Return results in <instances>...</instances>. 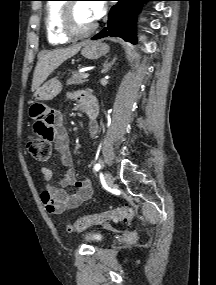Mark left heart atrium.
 Returning <instances> with one entry per match:
<instances>
[{
	"label": "left heart atrium",
	"mask_w": 216,
	"mask_h": 285,
	"mask_svg": "<svg viewBox=\"0 0 216 285\" xmlns=\"http://www.w3.org/2000/svg\"><path fill=\"white\" fill-rule=\"evenodd\" d=\"M87 5L95 21L104 15L106 7L103 1H91Z\"/></svg>",
	"instance_id": "1"
}]
</instances>
